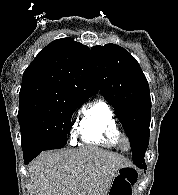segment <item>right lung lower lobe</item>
<instances>
[{"label":"right lung lower lobe","instance_id":"obj_1","mask_svg":"<svg viewBox=\"0 0 178 195\" xmlns=\"http://www.w3.org/2000/svg\"><path fill=\"white\" fill-rule=\"evenodd\" d=\"M43 150H35L31 152H27L23 154L24 157V163L28 164L33 158L38 156Z\"/></svg>","mask_w":178,"mask_h":195}]
</instances>
